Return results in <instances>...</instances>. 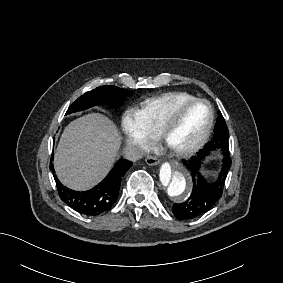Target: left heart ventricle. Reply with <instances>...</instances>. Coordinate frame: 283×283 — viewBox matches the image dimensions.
<instances>
[{
	"mask_svg": "<svg viewBox=\"0 0 283 283\" xmlns=\"http://www.w3.org/2000/svg\"><path fill=\"white\" fill-rule=\"evenodd\" d=\"M165 117L167 146L173 151H180L193 145L200 137L209 121V109L204 103L182 109L168 105Z\"/></svg>",
	"mask_w": 283,
	"mask_h": 283,
	"instance_id": "1",
	"label": "left heart ventricle"
}]
</instances>
